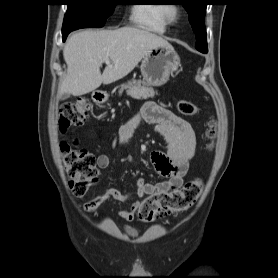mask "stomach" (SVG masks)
Wrapping results in <instances>:
<instances>
[{
	"label": "stomach",
	"instance_id": "0dacf381",
	"mask_svg": "<svg viewBox=\"0 0 278 278\" xmlns=\"http://www.w3.org/2000/svg\"><path fill=\"white\" fill-rule=\"evenodd\" d=\"M180 67V57L172 46L152 48L143 58L141 73L148 85H164Z\"/></svg>",
	"mask_w": 278,
	"mask_h": 278
}]
</instances>
